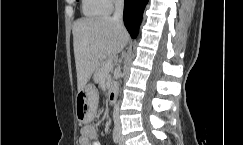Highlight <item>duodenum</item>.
I'll list each match as a JSON object with an SVG mask.
<instances>
[{
	"instance_id": "1",
	"label": "duodenum",
	"mask_w": 243,
	"mask_h": 145,
	"mask_svg": "<svg viewBox=\"0 0 243 145\" xmlns=\"http://www.w3.org/2000/svg\"><path fill=\"white\" fill-rule=\"evenodd\" d=\"M117 90L114 85H111L108 89V101L114 103L116 100Z\"/></svg>"
}]
</instances>
